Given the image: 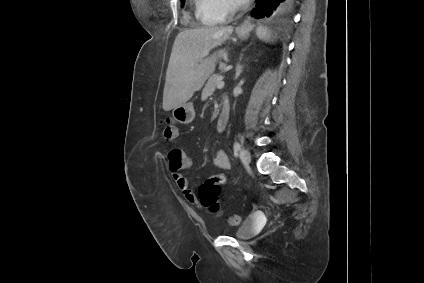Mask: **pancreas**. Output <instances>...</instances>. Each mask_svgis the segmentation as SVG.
<instances>
[{"label":"pancreas","mask_w":424,"mask_h":283,"mask_svg":"<svg viewBox=\"0 0 424 283\" xmlns=\"http://www.w3.org/2000/svg\"><path fill=\"white\" fill-rule=\"evenodd\" d=\"M220 80L219 75H213L209 78L207 84L205 85L204 89L202 90V99L206 100L210 95H212L217 87V84Z\"/></svg>","instance_id":"pancreas-1"}]
</instances>
